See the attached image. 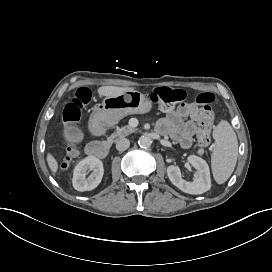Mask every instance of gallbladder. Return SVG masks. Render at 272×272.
Returning <instances> with one entry per match:
<instances>
[{"mask_svg": "<svg viewBox=\"0 0 272 272\" xmlns=\"http://www.w3.org/2000/svg\"><path fill=\"white\" fill-rule=\"evenodd\" d=\"M67 131H68V130H66V132H67ZM70 132H71V134H72V136H73L74 139H77V138L80 137V134H79V132H78L77 130L71 129Z\"/></svg>", "mask_w": 272, "mask_h": 272, "instance_id": "obj_1", "label": "gallbladder"}]
</instances>
